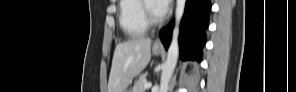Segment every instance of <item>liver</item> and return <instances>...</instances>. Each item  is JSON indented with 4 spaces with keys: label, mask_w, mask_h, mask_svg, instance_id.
<instances>
[{
    "label": "liver",
    "mask_w": 296,
    "mask_h": 92,
    "mask_svg": "<svg viewBox=\"0 0 296 92\" xmlns=\"http://www.w3.org/2000/svg\"><path fill=\"white\" fill-rule=\"evenodd\" d=\"M151 39L134 37L115 47L108 81V92H124L132 79L149 63Z\"/></svg>",
    "instance_id": "1"
}]
</instances>
